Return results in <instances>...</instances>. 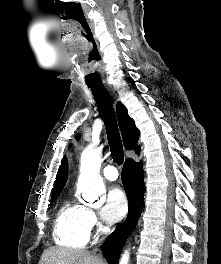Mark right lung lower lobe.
<instances>
[{
    "mask_svg": "<svg viewBox=\"0 0 221 264\" xmlns=\"http://www.w3.org/2000/svg\"><path fill=\"white\" fill-rule=\"evenodd\" d=\"M122 183L129 202L126 221L105 240L102 252L109 264H118L120 253L140 217L144 204V181L141 163L127 159L122 170Z\"/></svg>",
    "mask_w": 221,
    "mask_h": 264,
    "instance_id": "obj_1",
    "label": "right lung lower lobe"
}]
</instances>
